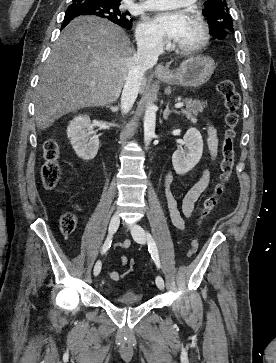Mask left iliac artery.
Returning a JSON list of instances; mask_svg holds the SVG:
<instances>
[{"label":"left iliac artery","instance_id":"obj_1","mask_svg":"<svg viewBox=\"0 0 276 363\" xmlns=\"http://www.w3.org/2000/svg\"><path fill=\"white\" fill-rule=\"evenodd\" d=\"M147 241H148V249H149V252L151 253V257L154 260L156 266L158 268H160V260H159L156 243H155L153 237L151 236V234H149V233H147Z\"/></svg>","mask_w":276,"mask_h":363}]
</instances>
